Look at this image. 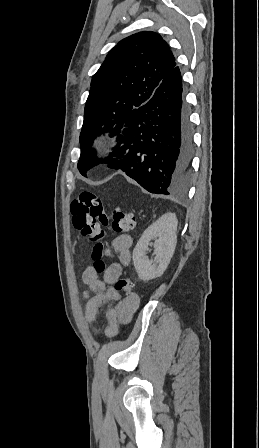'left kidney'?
Here are the masks:
<instances>
[{"instance_id":"5707ae66","label":"left kidney","mask_w":259,"mask_h":448,"mask_svg":"<svg viewBox=\"0 0 259 448\" xmlns=\"http://www.w3.org/2000/svg\"><path fill=\"white\" fill-rule=\"evenodd\" d=\"M177 224L176 214L168 212L143 232L133 250V262L140 280L147 282L160 278L169 266L177 244ZM150 240H155L154 260H149L145 254L146 250H149Z\"/></svg>"}]
</instances>
